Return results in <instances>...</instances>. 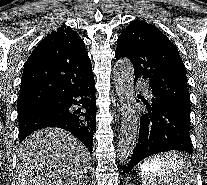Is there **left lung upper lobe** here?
Returning <instances> with one entry per match:
<instances>
[{
	"label": "left lung upper lobe",
	"instance_id": "left-lung-upper-lobe-1",
	"mask_svg": "<svg viewBox=\"0 0 207 185\" xmlns=\"http://www.w3.org/2000/svg\"><path fill=\"white\" fill-rule=\"evenodd\" d=\"M129 58L135 79L149 83L151 96L174 105L190 117L185 68L175 45L155 26L134 20L117 40L115 58Z\"/></svg>",
	"mask_w": 207,
	"mask_h": 185
}]
</instances>
